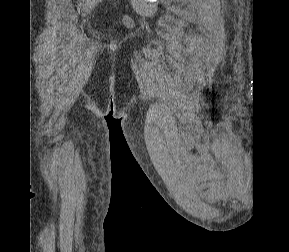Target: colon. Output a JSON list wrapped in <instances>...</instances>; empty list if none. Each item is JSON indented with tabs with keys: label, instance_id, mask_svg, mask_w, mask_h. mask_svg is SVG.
<instances>
[{
	"label": "colon",
	"instance_id": "obj_1",
	"mask_svg": "<svg viewBox=\"0 0 289 252\" xmlns=\"http://www.w3.org/2000/svg\"><path fill=\"white\" fill-rule=\"evenodd\" d=\"M125 22H126L127 24H129V23H130V20H129L128 18H125Z\"/></svg>",
	"mask_w": 289,
	"mask_h": 252
}]
</instances>
